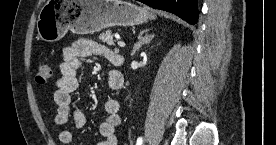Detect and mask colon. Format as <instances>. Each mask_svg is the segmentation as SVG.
Returning a JSON list of instances; mask_svg holds the SVG:
<instances>
[{"instance_id":"1","label":"colon","mask_w":276,"mask_h":145,"mask_svg":"<svg viewBox=\"0 0 276 145\" xmlns=\"http://www.w3.org/2000/svg\"><path fill=\"white\" fill-rule=\"evenodd\" d=\"M52 71L48 63L40 62L36 66V82L46 84L51 79Z\"/></svg>"}]
</instances>
